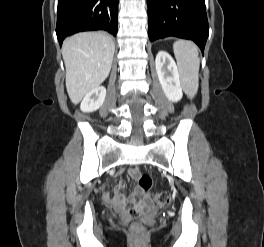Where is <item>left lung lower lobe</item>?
I'll use <instances>...</instances> for the list:
<instances>
[{"mask_svg":"<svg viewBox=\"0 0 264 247\" xmlns=\"http://www.w3.org/2000/svg\"><path fill=\"white\" fill-rule=\"evenodd\" d=\"M208 34L205 0H148L151 42L174 36L193 40L204 52Z\"/></svg>","mask_w":264,"mask_h":247,"instance_id":"left-lung-lower-lobe-1","label":"left lung lower lobe"}]
</instances>
